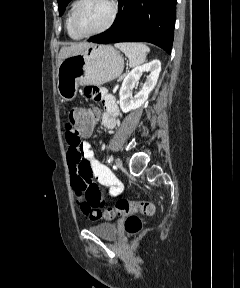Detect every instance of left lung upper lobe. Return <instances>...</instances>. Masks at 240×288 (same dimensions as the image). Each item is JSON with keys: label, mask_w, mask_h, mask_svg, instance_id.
<instances>
[{"label": "left lung upper lobe", "mask_w": 240, "mask_h": 288, "mask_svg": "<svg viewBox=\"0 0 240 288\" xmlns=\"http://www.w3.org/2000/svg\"><path fill=\"white\" fill-rule=\"evenodd\" d=\"M70 1H71V0H58L59 15H60V16L63 14L66 5H67Z\"/></svg>", "instance_id": "left-lung-upper-lobe-1"}]
</instances>
